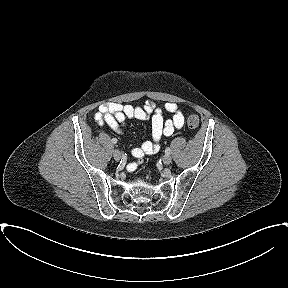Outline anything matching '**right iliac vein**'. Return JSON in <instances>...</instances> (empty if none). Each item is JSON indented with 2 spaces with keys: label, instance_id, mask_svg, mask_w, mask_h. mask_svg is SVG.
Instances as JSON below:
<instances>
[{
  "label": "right iliac vein",
  "instance_id": "63e3f726",
  "mask_svg": "<svg viewBox=\"0 0 288 288\" xmlns=\"http://www.w3.org/2000/svg\"><path fill=\"white\" fill-rule=\"evenodd\" d=\"M113 157H114V159H115L116 161H120V159L122 158V154H121L120 151L115 150V151L113 152Z\"/></svg>",
  "mask_w": 288,
  "mask_h": 288
}]
</instances>
